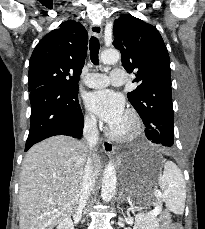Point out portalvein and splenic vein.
I'll list each match as a JSON object with an SVG mask.
<instances>
[{
    "label": "portal vein and splenic vein",
    "instance_id": "portal-vein-and-splenic-vein-1",
    "mask_svg": "<svg viewBox=\"0 0 205 229\" xmlns=\"http://www.w3.org/2000/svg\"><path fill=\"white\" fill-rule=\"evenodd\" d=\"M160 211H161L160 206H159L158 203H156V204H155V208H154V210L152 211V214H153V215H157V214L160 213Z\"/></svg>",
    "mask_w": 205,
    "mask_h": 229
}]
</instances>
